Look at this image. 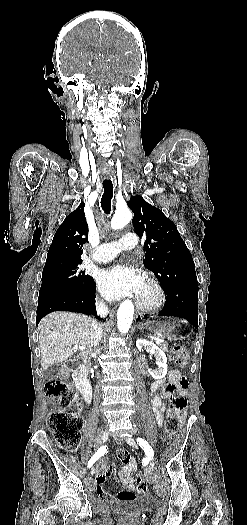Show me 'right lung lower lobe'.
<instances>
[{"instance_id": "98d812e1", "label": "right lung lower lobe", "mask_w": 247, "mask_h": 525, "mask_svg": "<svg viewBox=\"0 0 247 525\" xmlns=\"http://www.w3.org/2000/svg\"><path fill=\"white\" fill-rule=\"evenodd\" d=\"M95 283L92 280L89 286L79 293L54 294L38 300L37 324L52 311H70L93 315L96 311Z\"/></svg>"}]
</instances>
